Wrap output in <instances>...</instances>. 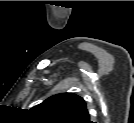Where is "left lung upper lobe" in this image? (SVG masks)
I'll use <instances>...</instances> for the list:
<instances>
[{"mask_svg":"<svg viewBox=\"0 0 134 123\" xmlns=\"http://www.w3.org/2000/svg\"><path fill=\"white\" fill-rule=\"evenodd\" d=\"M44 119L58 123H89V113L83 98L74 93H60L32 108Z\"/></svg>","mask_w":134,"mask_h":123,"instance_id":"1","label":"left lung upper lobe"}]
</instances>
